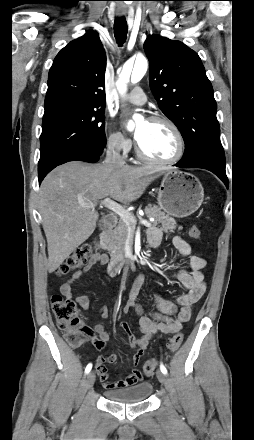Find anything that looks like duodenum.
I'll return each instance as SVG.
<instances>
[{
	"instance_id": "duodenum-1",
	"label": "duodenum",
	"mask_w": 254,
	"mask_h": 440,
	"mask_svg": "<svg viewBox=\"0 0 254 440\" xmlns=\"http://www.w3.org/2000/svg\"><path fill=\"white\" fill-rule=\"evenodd\" d=\"M117 225V217L115 215H107L100 227L101 232H105L109 229L114 228ZM95 247L101 249L100 238L97 237L94 241ZM129 263L128 259L115 258L111 261L109 265V273L111 275H116L122 268H124Z\"/></svg>"
}]
</instances>
